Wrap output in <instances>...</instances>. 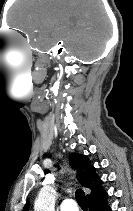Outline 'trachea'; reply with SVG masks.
Wrapping results in <instances>:
<instances>
[{
  "mask_svg": "<svg viewBox=\"0 0 133 211\" xmlns=\"http://www.w3.org/2000/svg\"><path fill=\"white\" fill-rule=\"evenodd\" d=\"M75 196H76V200H77L79 206L82 209H87V203H86L84 191H82L81 189L77 190L75 193Z\"/></svg>",
  "mask_w": 133,
  "mask_h": 211,
  "instance_id": "obj_1",
  "label": "trachea"
}]
</instances>
